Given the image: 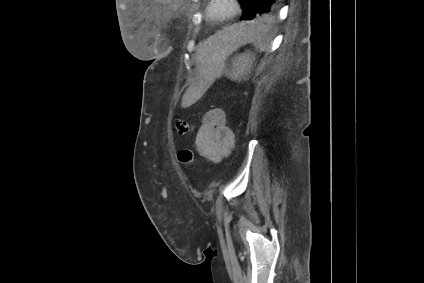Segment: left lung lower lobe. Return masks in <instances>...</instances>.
I'll list each match as a JSON object with an SVG mask.
<instances>
[{
    "label": "left lung lower lobe",
    "mask_w": 424,
    "mask_h": 283,
    "mask_svg": "<svg viewBox=\"0 0 424 283\" xmlns=\"http://www.w3.org/2000/svg\"><path fill=\"white\" fill-rule=\"evenodd\" d=\"M277 6V0H262L260 1L256 15L272 13Z\"/></svg>",
    "instance_id": "0a47b994"
}]
</instances>
